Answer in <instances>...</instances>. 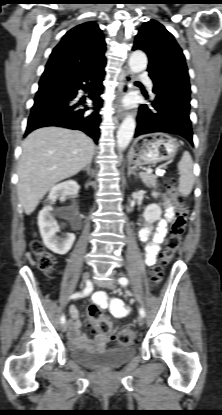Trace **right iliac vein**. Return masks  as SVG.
<instances>
[{
    "label": "right iliac vein",
    "mask_w": 222,
    "mask_h": 415,
    "mask_svg": "<svg viewBox=\"0 0 222 415\" xmlns=\"http://www.w3.org/2000/svg\"><path fill=\"white\" fill-rule=\"evenodd\" d=\"M88 279H89V273H85L83 275V282L84 283L87 282ZM61 330H62V332H66L68 330V324H62Z\"/></svg>",
    "instance_id": "1"
}]
</instances>
